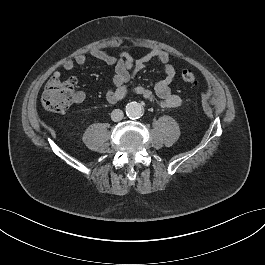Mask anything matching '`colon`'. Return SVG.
Here are the masks:
<instances>
[{
	"label": "colon",
	"mask_w": 265,
	"mask_h": 265,
	"mask_svg": "<svg viewBox=\"0 0 265 265\" xmlns=\"http://www.w3.org/2000/svg\"><path fill=\"white\" fill-rule=\"evenodd\" d=\"M182 79L189 84L198 82L195 74L189 70L183 71ZM74 97V82L71 79L64 80L61 77L52 76L44 87L41 103L48 112L60 113L71 106Z\"/></svg>",
	"instance_id": "1"
}]
</instances>
